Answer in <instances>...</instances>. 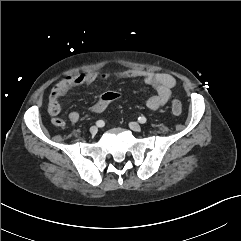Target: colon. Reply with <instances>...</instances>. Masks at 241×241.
Here are the masks:
<instances>
[{"mask_svg": "<svg viewBox=\"0 0 241 241\" xmlns=\"http://www.w3.org/2000/svg\"><path fill=\"white\" fill-rule=\"evenodd\" d=\"M120 93L117 91H108L106 93L102 94V100L103 101H118L120 98ZM171 111L175 115H179L182 113V104L179 100H173L171 103Z\"/></svg>", "mask_w": 241, "mask_h": 241, "instance_id": "obj_1", "label": "colon"}]
</instances>
